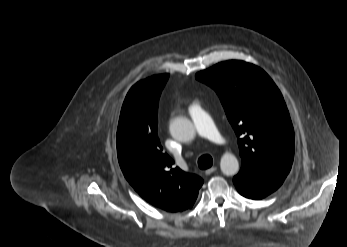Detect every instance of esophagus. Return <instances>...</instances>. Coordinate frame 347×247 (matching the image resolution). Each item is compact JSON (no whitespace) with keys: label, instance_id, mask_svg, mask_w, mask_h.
Here are the masks:
<instances>
[{"label":"esophagus","instance_id":"34e87169","mask_svg":"<svg viewBox=\"0 0 347 247\" xmlns=\"http://www.w3.org/2000/svg\"><path fill=\"white\" fill-rule=\"evenodd\" d=\"M216 170H217V167H216V166H212L211 168L207 169V170L205 171V173H206L207 175H209V174L215 172Z\"/></svg>","mask_w":347,"mask_h":247}]
</instances>
